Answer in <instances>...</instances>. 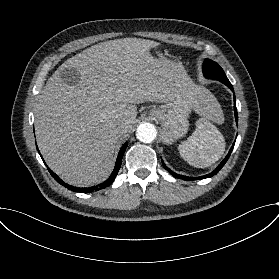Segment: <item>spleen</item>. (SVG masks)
<instances>
[{
	"instance_id": "3e777b00",
	"label": "spleen",
	"mask_w": 279,
	"mask_h": 279,
	"mask_svg": "<svg viewBox=\"0 0 279 279\" xmlns=\"http://www.w3.org/2000/svg\"><path fill=\"white\" fill-rule=\"evenodd\" d=\"M199 111L204 116L196 123V130L178 149L181 156L192 166L205 168L218 161L225 151V140L210 122L222 124L224 115L216 98L202 89ZM186 156V158H185Z\"/></svg>"
}]
</instances>
